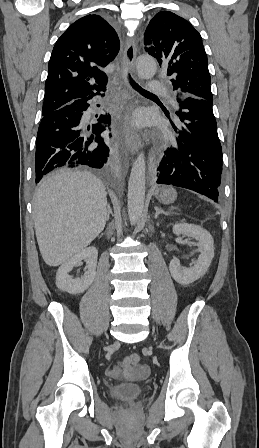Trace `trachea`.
<instances>
[{
  "instance_id": "3493384b",
  "label": "trachea",
  "mask_w": 259,
  "mask_h": 448,
  "mask_svg": "<svg viewBox=\"0 0 259 448\" xmlns=\"http://www.w3.org/2000/svg\"><path fill=\"white\" fill-rule=\"evenodd\" d=\"M130 83L132 87L137 90L139 93H150L147 90H144V88H141L134 80L130 78Z\"/></svg>"
}]
</instances>
